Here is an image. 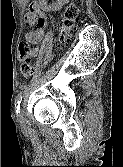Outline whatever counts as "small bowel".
Returning a JSON list of instances; mask_svg holds the SVG:
<instances>
[{
    "mask_svg": "<svg viewBox=\"0 0 123 167\" xmlns=\"http://www.w3.org/2000/svg\"><path fill=\"white\" fill-rule=\"evenodd\" d=\"M66 0H58V2H65ZM57 8V7H53ZM46 7L43 4L33 3L29 12L25 15V22L28 25L36 24V29L26 33L25 39L33 46L30 50V56L33 58H40L43 54V46L41 44L45 35L46 26Z\"/></svg>",
    "mask_w": 123,
    "mask_h": 167,
    "instance_id": "c3829d8e",
    "label": "small bowel"
}]
</instances>
